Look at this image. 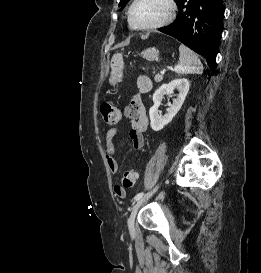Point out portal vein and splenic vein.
Returning a JSON list of instances; mask_svg holds the SVG:
<instances>
[{
    "instance_id": "1",
    "label": "portal vein and splenic vein",
    "mask_w": 261,
    "mask_h": 273,
    "mask_svg": "<svg viewBox=\"0 0 261 273\" xmlns=\"http://www.w3.org/2000/svg\"><path fill=\"white\" fill-rule=\"evenodd\" d=\"M161 74H165V70H162V71H161Z\"/></svg>"
}]
</instances>
